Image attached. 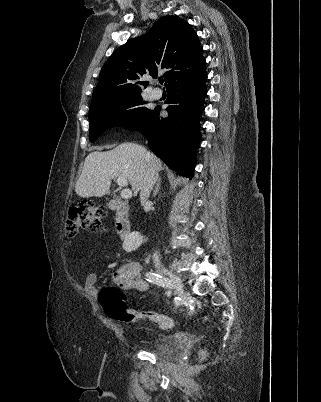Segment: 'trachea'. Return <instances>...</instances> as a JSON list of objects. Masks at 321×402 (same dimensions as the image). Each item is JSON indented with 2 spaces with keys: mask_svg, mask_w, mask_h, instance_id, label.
<instances>
[{
  "mask_svg": "<svg viewBox=\"0 0 321 402\" xmlns=\"http://www.w3.org/2000/svg\"><path fill=\"white\" fill-rule=\"evenodd\" d=\"M160 84H163V78H159Z\"/></svg>",
  "mask_w": 321,
  "mask_h": 402,
  "instance_id": "1",
  "label": "trachea"
}]
</instances>
